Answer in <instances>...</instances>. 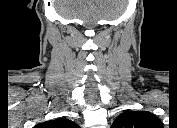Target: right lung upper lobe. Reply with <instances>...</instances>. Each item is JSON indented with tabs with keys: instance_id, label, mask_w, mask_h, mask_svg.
I'll return each instance as SVG.
<instances>
[{
	"instance_id": "cb5924a9",
	"label": "right lung upper lobe",
	"mask_w": 177,
	"mask_h": 128,
	"mask_svg": "<svg viewBox=\"0 0 177 128\" xmlns=\"http://www.w3.org/2000/svg\"><path fill=\"white\" fill-rule=\"evenodd\" d=\"M37 128H79L73 121L65 118H58L44 123H40Z\"/></svg>"
}]
</instances>
